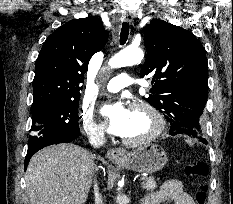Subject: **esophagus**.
Segmentation results:
<instances>
[{
    "mask_svg": "<svg viewBox=\"0 0 233 204\" xmlns=\"http://www.w3.org/2000/svg\"><path fill=\"white\" fill-rule=\"evenodd\" d=\"M123 20L132 23V15L125 13L123 14ZM107 157L113 162L121 161L126 157V151L123 148H112L107 151Z\"/></svg>",
    "mask_w": 233,
    "mask_h": 204,
    "instance_id": "1",
    "label": "esophagus"
}]
</instances>
